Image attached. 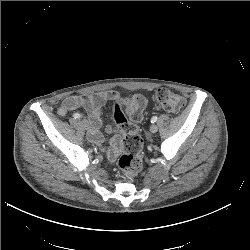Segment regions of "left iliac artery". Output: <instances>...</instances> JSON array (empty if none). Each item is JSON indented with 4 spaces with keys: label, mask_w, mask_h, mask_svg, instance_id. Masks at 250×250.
Returning <instances> with one entry per match:
<instances>
[{
    "label": "left iliac artery",
    "mask_w": 250,
    "mask_h": 250,
    "mask_svg": "<svg viewBox=\"0 0 250 250\" xmlns=\"http://www.w3.org/2000/svg\"><path fill=\"white\" fill-rule=\"evenodd\" d=\"M157 119H158L157 116L152 117L151 118V123H155L157 121Z\"/></svg>",
    "instance_id": "left-iliac-artery-1"
}]
</instances>
